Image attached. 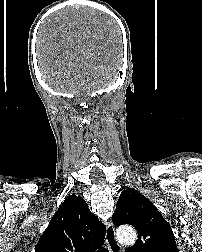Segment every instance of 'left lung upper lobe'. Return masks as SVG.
Here are the masks:
<instances>
[{
	"instance_id": "left-lung-upper-lobe-1",
	"label": "left lung upper lobe",
	"mask_w": 202,
	"mask_h": 252,
	"mask_svg": "<svg viewBox=\"0 0 202 252\" xmlns=\"http://www.w3.org/2000/svg\"><path fill=\"white\" fill-rule=\"evenodd\" d=\"M112 220L115 226H134L139 238L126 252H178L170 225L152 202L139 191H122Z\"/></svg>"
}]
</instances>
